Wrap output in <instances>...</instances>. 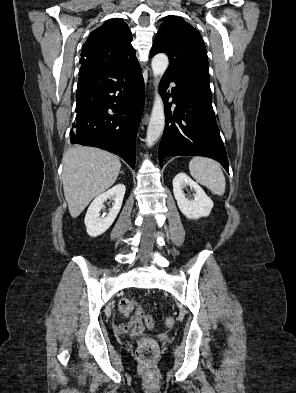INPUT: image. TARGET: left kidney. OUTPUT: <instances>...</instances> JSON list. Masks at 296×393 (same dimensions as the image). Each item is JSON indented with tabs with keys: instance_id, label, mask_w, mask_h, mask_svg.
<instances>
[{
	"instance_id": "obj_1",
	"label": "left kidney",
	"mask_w": 296,
	"mask_h": 393,
	"mask_svg": "<svg viewBox=\"0 0 296 393\" xmlns=\"http://www.w3.org/2000/svg\"><path fill=\"white\" fill-rule=\"evenodd\" d=\"M189 186L194 189L193 199L185 196L183 189ZM173 193L180 211L188 219L207 217L213 208V201L206 195L204 190L185 173L177 174L173 179Z\"/></svg>"
}]
</instances>
